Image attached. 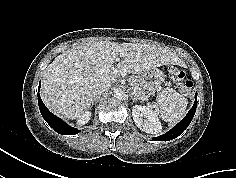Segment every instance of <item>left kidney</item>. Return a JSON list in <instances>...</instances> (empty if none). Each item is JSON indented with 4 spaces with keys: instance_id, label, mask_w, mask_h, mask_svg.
<instances>
[{
    "instance_id": "left-kidney-1",
    "label": "left kidney",
    "mask_w": 236,
    "mask_h": 178,
    "mask_svg": "<svg viewBox=\"0 0 236 178\" xmlns=\"http://www.w3.org/2000/svg\"><path fill=\"white\" fill-rule=\"evenodd\" d=\"M132 116L136 126L140 130L149 134L161 133V123L159 122L157 115L148 106H133Z\"/></svg>"
}]
</instances>
